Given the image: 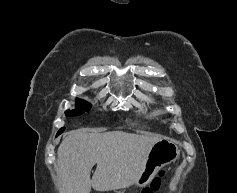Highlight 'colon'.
Masks as SVG:
<instances>
[{
	"label": "colon",
	"instance_id": "obj_1",
	"mask_svg": "<svg viewBox=\"0 0 237 193\" xmlns=\"http://www.w3.org/2000/svg\"><path fill=\"white\" fill-rule=\"evenodd\" d=\"M163 172H160L158 176L154 177L149 185L144 186L139 192L137 193H156L160 188L161 176Z\"/></svg>",
	"mask_w": 237,
	"mask_h": 193
}]
</instances>
